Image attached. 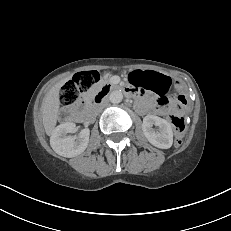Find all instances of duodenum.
Listing matches in <instances>:
<instances>
[{"instance_id":"obj_1","label":"duodenum","mask_w":231,"mask_h":231,"mask_svg":"<svg viewBox=\"0 0 231 231\" xmlns=\"http://www.w3.org/2000/svg\"><path fill=\"white\" fill-rule=\"evenodd\" d=\"M112 89V86L109 85V84H104L102 86V88L99 90L98 93L95 94V96L93 97V100H92V105L91 107H95L97 106L102 100L103 98L111 91ZM125 92L129 95H133L135 94L133 91H131L130 89H126ZM145 106L144 102L141 101L139 103V108H143Z\"/></svg>"}]
</instances>
